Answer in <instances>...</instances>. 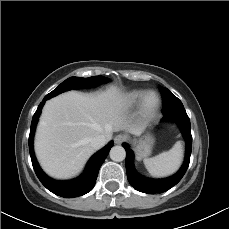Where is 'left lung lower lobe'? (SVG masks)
<instances>
[{
	"mask_svg": "<svg viewBox=\"0 0 229 229\" xmlns=\"http://www.w3.org/2000/svg\"><path fill=\"white\" fill-rule=\"evenodd\" d=\"M164 120H171L177 123L180 127L182 135L186 141V156L184 163L180 170L171 177L165 179H148L138 174L133 166L134 154L129 146L124 143L123 146L126 150V171L129 183L138 191L155 194L163 193L176 185L184 176L190 162L192 136L191 125L186 111H178L168 115H164Z\"/></svg>",
	"mask_w": 229,
	"mask_h": 229,
	"instance_id": "0a47b994",
	"label": "left lung lower lobe"
}]
</instances>
